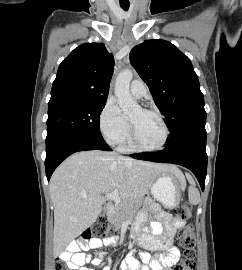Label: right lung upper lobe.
Segmentation results:
<instances>
[{"mask_svg":"<svg viewBox=\"0 0 242 270\" xmlns=\"http://www.w3.org/2000/svg\"><path fill=\"white\" fill-rule=\"evenodd\" d=\"M113 66V56L102 43H85L75 48L59 65L48 106L106 102Z\"/></svg>","mask_w":242,"mask_h":270,"instance_id":"cb5924a9","label":"right lung upper lobe"}]
</instances>
